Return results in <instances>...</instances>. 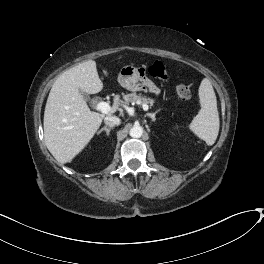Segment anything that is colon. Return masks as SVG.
Returning a JSON list of instances; mask_svg holds the SVG:
<instances>
[{
  "mask_svg": "<svg viewBox=\"0 0 264 264\" xmlns=\"http://www.w3.org/2000/svg\"><path fill=\"white\" fill-rule=\"evenodd\" d=\"M149 73L152 77L157 79H167L168 77V70L164 63L161 61H155L149 68ZM176 93L182 100H189L192 95V90L189 85L186 84H179L176 87Z\"/></svg>",
  "mask_w": 264,
  "mask_h": 264,
  "instance_id": "obj_1",
  "label": "colon"
}]
</instances>
